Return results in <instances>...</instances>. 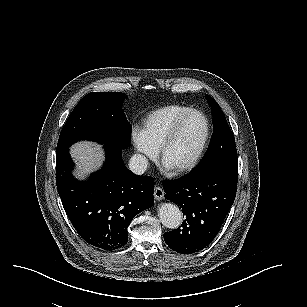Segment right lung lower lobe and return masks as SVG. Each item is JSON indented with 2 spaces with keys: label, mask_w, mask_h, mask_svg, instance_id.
<instances>
[{
  "label": "right lung lower lobe",
  "mask_w": 307,
  "mask_h": 307,
  "mask_svg": "<svg viewBox=\"0 0 307 307\" xmlns=\"http://www.w3.org/2000/svg\"><path fill=\"white\" fill-rule=\"evenodd\" d=\"M106 161L88 181L73 178L69 148L56 153V184L64 210L91 246L115 250L128 240L127 228L138 213L153 206L154 179L138 176L122 160L121 147L104 144Z\"/></svg>",
  "instance_id": "obj_1"
}]
</instances>
